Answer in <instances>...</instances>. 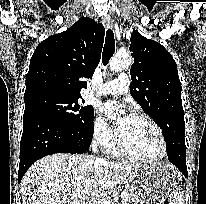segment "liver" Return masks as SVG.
Returning a JSON list of instances; mask_svg holds the SVG:
<instances>
[{
  "mask_svg": "<svg viewBox=\"0 0 206 204\" xmlns=\"http://www.w3.org/2000/svg\"><path fill=\"white\" fill-rule=\"evenodd\" d=\"M138 166L92 155L46 156L24 175L20 184L22 204H90L85 200L110 194Z\"/></svg>",
  "mask_w": 206,
  "mask_h": 204,
  "instance_id": "6515ba94",
  "label": "liver"
}]
</instances>
